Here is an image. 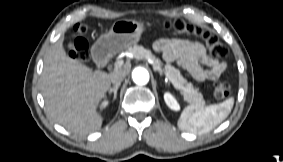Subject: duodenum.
<instances>
[{
    "mask_svg": "<svg viewBox=\"0 0 283 162\" xmlns=\"http://www.w3.org/2000/svg\"><path fill=\"white\" fill-rule=\"evenodd\" d=\"M96 58L100 66H105L109 60L103 51H98L96 53Z\"/></svg>",
    "mask_w": 283,
    "mask_h": 162,
    "instance_id": "1",
    "label": "duodenum"
}]
</instances>
